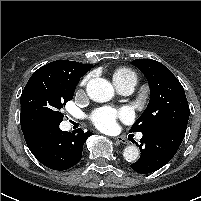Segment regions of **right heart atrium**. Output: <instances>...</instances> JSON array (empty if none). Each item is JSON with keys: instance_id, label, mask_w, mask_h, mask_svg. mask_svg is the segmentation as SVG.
I'll list each match as a JSON object with an SVG mask.
<instances>
[{"instance_id": "d8ad5b80", "label": "right heart atrium", "mask_w": 201, "mask_h": 201, "mask_svg": "<svg viewBox=\"0 0 201 201\" xmlns=\"http://www.w3.org/2000/svg\"><path fill=\"white\" fill-rule=\"evenodd\" d=\"M89 76L85 77L82 81V84L85 85L87 83V81L89 80Z\"/></svg>"}]
</instances>
